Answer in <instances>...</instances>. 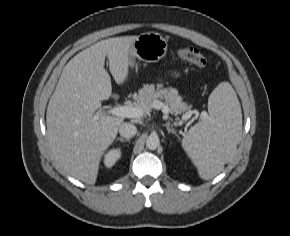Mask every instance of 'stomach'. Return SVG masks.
Wrapping results in <instances>:
<instances>
[{"label": "stomach", "mask_w": 290, "mask_h": 236, "mask_svg": "<svg viewBox=\"0 0 290 236\" xmlns=\"http://www.w3.org/2000/svg\"><path fill=\"white\" fill-rule=\"evenodd\" d=\"M167 48L166 39L159 33H142L130 47V66H133L136 58L148 63L158 62L165 57Z\"/></svg>", "instance_id": "stomach-1"}]
</instances>
